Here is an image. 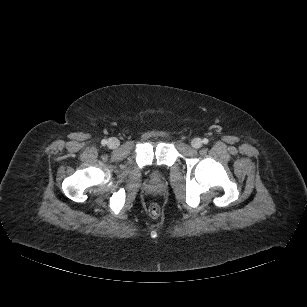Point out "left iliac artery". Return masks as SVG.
Here are the masks:
<instances>
[{"label": "left iliac artery", "mask_w": 307, "mask_h": 307, "mask_svg": "<svg viewBox=\"0 0 307 307\" xmlns=\"http://www.w3.org/2000/svg\"><path fill=\"white\" fill-rule=\"evenodd\" d=\"M204 144H207L209 142V140L207 138H204L202 141Z\"/></svg>", "instance_id": "44dca946"}]
</instances>
